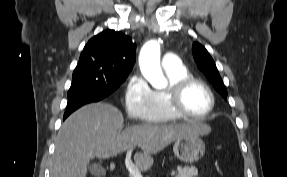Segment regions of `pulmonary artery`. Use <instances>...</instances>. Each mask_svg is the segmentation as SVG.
Instances as JSON below:
<instances>
[{
  "mask_svg": "<svg viewBox=\"0 0 287 177\" xmlns=\"http://www.w3.org/2000/svg\"><path fill=\"white\" fill-rule=\"evenodd\" d=\"M180 65V60L175 53H167L162 59V66L164 69H173Z\"/></svg>",
  "mask_w": 287,
  "mask_h": 177,
  "instance_id": "obj_1",
  "label": "pulmonary artery"
}]
</instances>
